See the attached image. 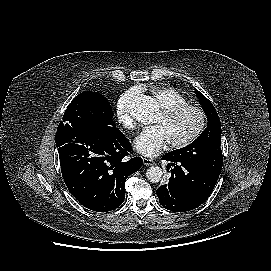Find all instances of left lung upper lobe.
<instances>
[{
  "mask_svg": "<svg viewBox=\"0 0 271 271\" xmlns=\"http://www.w3.org/2000/svg\"><path fill=\"white\" fill-rule=\"evenodd\" d=\"M195 93L207 116L208 126L190 145L169 153L180 161L197 165L219 177L223 166L221 122L212 103L197 89H195Z\"/></svg>",
  "mask_w": 271,
  "mask_h": 271,
  "instance_id": "5c2ea615",
  "label": "left lung upper lobe"
}]
</instances>
